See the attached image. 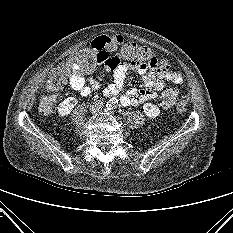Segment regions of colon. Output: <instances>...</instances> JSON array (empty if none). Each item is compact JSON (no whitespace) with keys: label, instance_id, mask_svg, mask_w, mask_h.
Segmentation results:
<instances>
[{"label":"colon","instance_id":"1","mask_svg":"<svg viewBox=\"0 0 233 233\" xmlns=\"http://www.w3.org/2000/svg\"><path fill=\"white\" fill-rule=\"evenodd\" d=\"M132 65H144L152 68H168L165 58L157 57L145 46L135 42L115 41L111 38L104 40L98 46H90L74 52L67 61L52 69L46 81L49 91L62 89L72 71H91L107 58L110 52H117ZM178 92L175 89H166L160 99L163 109L171 108L177 100ZM56 103L55 95H44L40 99V109L46 114L53 112Z\"/></svg>","mask_w":233,"mask_h":233}]
</instances>
